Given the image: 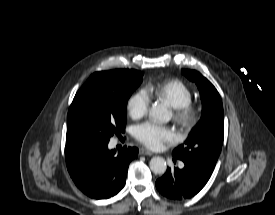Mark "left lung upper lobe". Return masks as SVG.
Instances as JSON below:
<instances>
[{
  "instance_id": "obj_1",
  "label": "left lung upper lobe",
  "mask_w": 275,
  "mask_h": 215,
  "mask_svg": "<svg viewBox=\"0 0 275 215\" xmlns=\"http://www.w3.org/2000/svg\"><path fill=\"white\" fill-rule=\"evenodd\" d=\"M195 82L202 101V117L191 130L185 145L173 151V156L183 162L214 169L224 139V115L221 97L215 87L199 72L182 70Z\"/></svg>"
}]
</instances>
